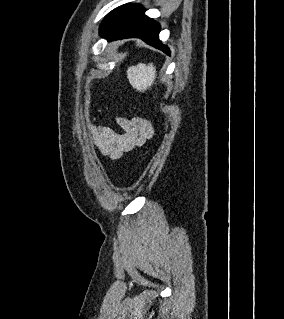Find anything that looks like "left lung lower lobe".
Listing matches in <instances>:
<instances>
[{
    "label": "left lung lower lobe",
    "mask_w": 284,
    "mask_h": 319,
    "mask_svg": "<svg viewBox=\"0 0 284 319\" xmlns=\"http://www.w3.org/2000/svg\"><path fill=\"white\" fill-rule=\"evenodd\" d=\"M160 25L144 14V8L127 4L119 8L112 20L100 31L107 40L140 38L147 44L170 55V50L159 40Z\"/></svg>",
    "instance_id": "1"
}]
</instances>
